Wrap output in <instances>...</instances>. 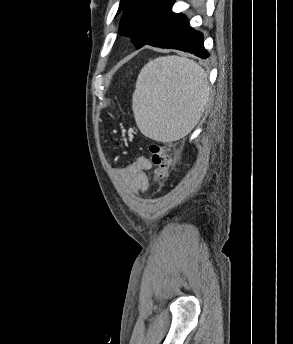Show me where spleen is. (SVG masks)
I'll use <instances>...</instances> for the list:
<instances>
[{
	"instance_id": "spleen-1",
	"label": "spleen",
	"mask_w": 293,
	"mask_h": 344,
	"mask_svg": "<svg viewBox=\"0 0 293 344\" xmlns=\"http://www.w3.org/2000/svg\"><path fill=\"white\" fill-rule=\"evenodd\" d=\"M209 94L207 75L195 61L158 57L138 76L132 100L136 124L153 140L180 139L200 120Z\"/></svg>"
}]
</instances>
